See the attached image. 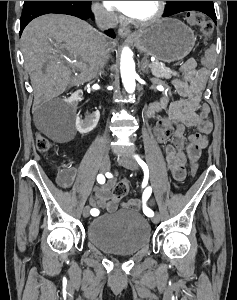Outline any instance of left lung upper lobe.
I'll use <instances>...</instances> for the list:
<instances>
[{"mask_svg":"<svg viewBox=\"0 0 237 300\" xmlns=\"http://www.w3.org/2000/svg\"><path fill=\"white\" fill-rule=\"evenodd\" d=\"M167 9L166 15L170 16L174 14V9L180 6L193 5V4H213V1H166Z\"/></svg>","mask_w":237,"mask_h":300,"instance_id":"1","label":"left lung upper lobe"}]
</instances>
